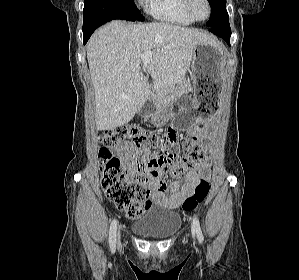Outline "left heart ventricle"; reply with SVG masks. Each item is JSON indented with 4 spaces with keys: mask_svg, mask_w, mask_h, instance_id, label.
Segmentation results:
<instances>
[{
    "mask_svg": "<svg viewBox=\"0 0 299 280\" xmlns=\"http://www.w3.org/2000/svg\"><path fill=\"white\" fill-rule=\"evenodd\" d=\"M193 11L196 17L203 19L207 14V7L203 0H194Z\"/></svg>",
    "mask_w": 299,
    "mask_h": 280,
    "instance_id": "1",
    "label": "left heart ventricle"
}]
</instances>
